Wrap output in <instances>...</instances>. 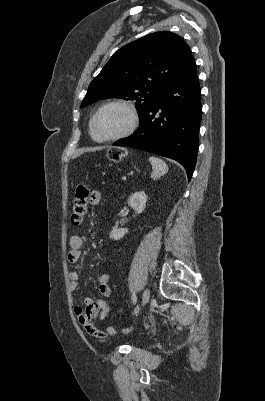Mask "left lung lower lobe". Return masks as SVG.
Segmentation results:
<instances>
[{"label": "left lung lower lobe", "instance_id": "left-lung-lower-lobe-1", "mask_svg": "<svg viewBox=\"0 0 265 401\" xmlns=\"http://www.w3.org/2000/svg\"><path fill=\"white\" fill-rule=\"evenodd\" d=\"M201 110V91L192 57L180 75L162 90L140 117V126L135 133L113 145L174 159L185 168L190 180L197 159Z\"/></svg>", "mask_w": 265, "mask_h": 401}]
</instances>
